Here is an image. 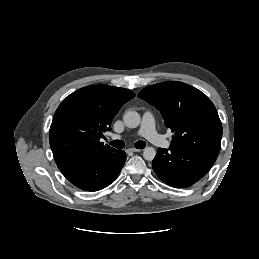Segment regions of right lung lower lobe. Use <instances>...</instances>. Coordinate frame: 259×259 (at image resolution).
<instances>
[{"mask_svg":"<svg viewBox=\"0 0 259 259\" xmlns=\"http://www.w3.org/2000/svg\"><path fill=\"white\" fill-rule=\"evenodd\" d=\"M126 154L114 150L79 164L58 166L63 175L76 187L87 191H98L110 185L120 173Z\"/></svg>","mask_w":259,"mask_h":259,"instance_id":"obj_1","label":"right lung lower lobe"}]
</instances>
